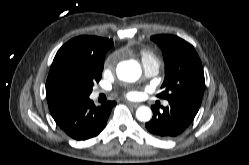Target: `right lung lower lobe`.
<instances>
[{"label": "right lung lower lobe", "mask_w": 249, "mask_h": 165, "mask_svg": "<svg viewBox=\"0 0 249 165\" xmlns=\"http://www.w3.org/2000/svg\"><path fill=\"white\" fill-rule=\"evenodd\" d=\"M115 101L95 106L88 97H69L48 103L57 125L71 138L86 140L97 136L106 126Z\"/></svg>", "instance_id": "98d812e1"}]
</instances>
